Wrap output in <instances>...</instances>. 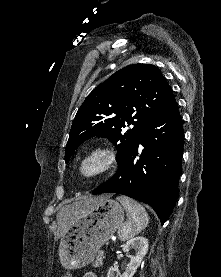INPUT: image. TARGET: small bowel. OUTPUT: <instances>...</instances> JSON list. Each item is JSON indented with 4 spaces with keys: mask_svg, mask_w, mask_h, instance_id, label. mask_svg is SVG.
Wrapping results in <instances>:
<instances>
[{
    "mask_svg": "<svg viewBox=\"0 0 221 277\" xmlns=\"http://www.w3.org/2000/svg\"><path fill=\"white\" fill-rule=\"evenodd\" d=\"M83 277H97V275L92 272H89V273L84 274Z\"/></svg>",
    "mask_w": 221,
    "mask_h": 277,
    "instance_id": "obj_1",
    "label": "small bowel"
}]
</instances>
